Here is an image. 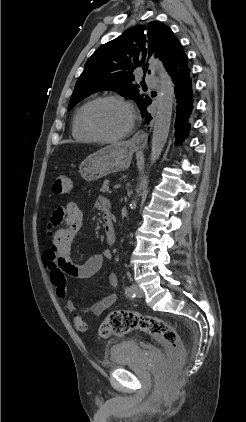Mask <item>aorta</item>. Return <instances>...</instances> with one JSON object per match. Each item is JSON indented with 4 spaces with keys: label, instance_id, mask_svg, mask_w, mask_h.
I'll return each mask as SVG.
<instances>
[{
    "label": "aorta",
    "instance_id": "1",
    "mask_svg": "<svg viewBox=\"0 0 246 422\" xmlns=\"http://www.w3.org/2000/svg\"><path fill=\"white\" fill-rule=\"evenodd\" d=\"M152 66L157 71L160 78V90L158 96L157 113L154 119L150 163L154 164L160 157L166 144L169 134L172 108L174 101V85L170 76L160 61L153 60ZM137 201L134 199L130 206L136 207Z\"/></svg>",
    "mask_w": 246,
    "mask_h": 422
}]
</instances>
